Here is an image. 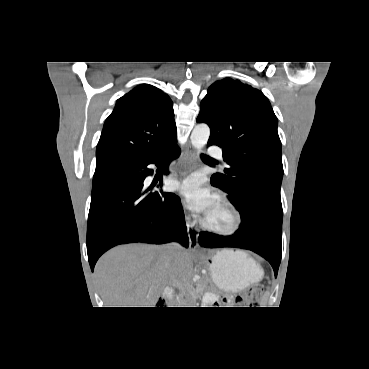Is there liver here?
<instances>
[{
  "label": "liver",
  "instance_id": "1",
  "mask_svg": "<svg viewBox=\"0 0 369 369\" xmlns=\"http://www.w3.org/2000/svg\"><path fill=\"white\" fill-rule=\"evenodd\" d=\"M165 247L128 244L104 254L94 272L105 307H155L165 287L186 284L191 255L180 248L168 257Z\"/></svg>",
  "mask_w": 369,
  "mask_h": 369
}]
</instances>
